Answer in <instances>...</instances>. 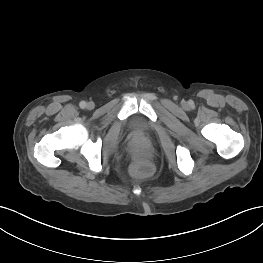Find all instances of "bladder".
Masks as SVG:
<instances>
[{
    "instance_id": "obj_1",
    "label": "bladder",
    "mask_w": 263,
    "mask_h": 263,
    "mask_svg": "<svg viewBox=\"0 0 263 263\" xmlns=\"http://www.w3.org/2000/svg\"><path fill=\"white\" fill-rule=\"evenodd\" d=\"M130 129L137 135H147L150 132L149 124L142 118L134 117L130 121Z\"/></svg>"
}]
</instances>
